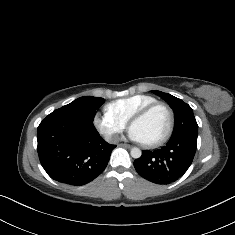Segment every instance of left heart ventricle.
Masks as SVG:
<instances>
[{
  "mask_svg": "<svg viewBox=\"0 0 235 235\" xmlns=\"http://www.w3.org/2000/svg\"><path fill=\"white\" fill-rule=\"evenodd\" d=\"M132 127L140 134L142 143H150L165 135L169 117L163 109H156L147 117L134 122Z\"/></svg>",
  "mask_w": 235,
  "mask_h": 235,
  "instance_id": "1",
  "label": "left heart ventricle"
}]
</instances>
